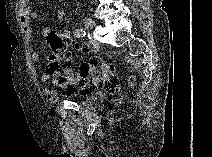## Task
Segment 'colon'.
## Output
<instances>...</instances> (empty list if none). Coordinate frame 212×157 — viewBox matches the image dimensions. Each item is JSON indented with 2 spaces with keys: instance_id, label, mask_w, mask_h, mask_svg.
<instances>
[{
  "instance_id": "colon-1",
  "label": "colon",
  "mask_w": 212,
  "mask_h": 157,
  "mask_svg": "<svg viewBox=\"0 0 212 157\" xmlns=\"http://www.w3.org/2000/svg\"><path fill=\"white\" fill-rule=\"evenodd\" d=\"M47 39L52 47V56L47 64V72L52 76L54 84L65 93H88L100 88L107 93L119 90V80L113 66L105 61L74 72L70 59L64 55L71 43L69 32L50 33Z\"/></svg>"
}]
</instances>
